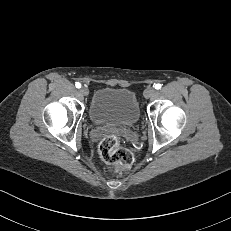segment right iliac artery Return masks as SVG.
<instances>
[{
  "instance_id": "right-iliac-artery-1",
  "label": "right iliac artery",
  "mask_w": 231,
  "mask_h": 231,
  "mask_svg": "<svg viewBox=\"0 0 231 231\" xmlns=\"http://www.w3.org/2000/svg\"><path fill=\"white\" fill-rule=\"evenodd\" d=\"M77 88H80L81 87V84L78 82L75 84Z\"/></svg>"
}]
</instances>
